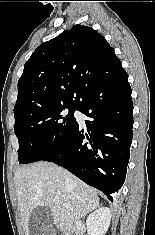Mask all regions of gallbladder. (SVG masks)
Wrapping results in <instances>:
<instances>
[{"label":"gallbladder","instance_id":"bac80fb5","mask_svg":"<svg viewBox=\"0 0 155 235\" xmlns=\"http://www.w3.org/2000/svg\"><path fill=\"white\" fill-rule=\"evenodd\" d=\"M53 215L45 206L36 207L29 220L30 235H53Z\"/></svg>","mask_w":155,"mask_h":235}]
</instances>
